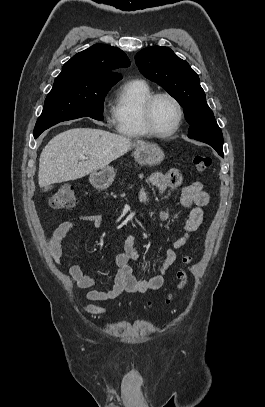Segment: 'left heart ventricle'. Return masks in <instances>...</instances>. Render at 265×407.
<instances>
[{
  "instance_id": "b2bd125f",
  "label": "left heart ventricle",
  "mask_w": 265,
  "mask_h": 407,
  "mask_svg": "<svg viewBox=\"0 0 265 407\" xmlns=\"http://www.w3.org/2000/svg\"><path fill=\"white\" fill-rule=\"evenodd\" d=\"M153 123L160 131H168L176 124L178 119V109L168 98H159L153 107Z\"/></svg>"
}]
</instances>
